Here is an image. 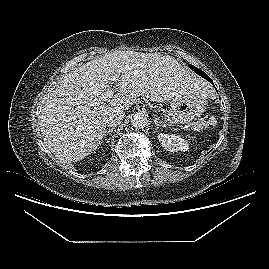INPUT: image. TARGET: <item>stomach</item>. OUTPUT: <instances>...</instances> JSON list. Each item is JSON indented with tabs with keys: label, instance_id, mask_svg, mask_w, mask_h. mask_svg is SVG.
<instances>
[{
	"label": "stomach",
	"instance_id": "stomach-1",
	"mask_svg": "<svg viewBox=\"0 0 269 269\" xmlns=\"http://www.w3.org/2000/svg\"><path fill=\"white\" fill-rule=\"evenodd\" d=\"M207 99L200 93H190L172 99L167 111L168 121L173 124H191L206 110Z\"/></svg>",
	"mask_w": 269,
	"mask_h": 269
}]
</instances>
